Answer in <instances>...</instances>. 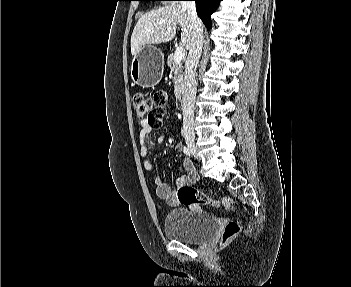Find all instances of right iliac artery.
<instances>
[{
    "mask_svg": "<svg viewBox=\"0 0 351 287\" xmlns=\"http://www.w3.org/2000/svg\"><path fill=\"white\" fill-rule=\"evenodd\" d=\"M183 152L184 154H186L187 156L191 157V151L189 150V148H187L186 146L183 147Z\"/></svg>",
    "mask_w": 351,
    "mask_h": 287,
    "instance_id": "1",
    "label": "right iliac artery"
}]
</instances>
